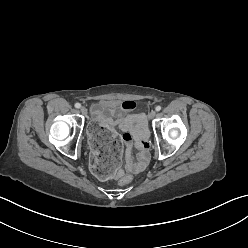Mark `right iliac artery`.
I'll list each match as a JSON object with an SVG mask.
<instances>
[{
  "mask_svg": "<svg viewBox=\"0 0 248 248\" xmlns=\"http://www.w3.org/2000/svg\"><path fill=\"white\" fill-rule=\"evenodd\" d=\"M75 107H76V108H80V107H81V104H80V103H76V104H75Z\"/></svg>",
  "mask_w": 248,
  "mask_h": 248,
  "instance_id": "obj_1",
  "label": "right iliac artery"
}]
</instances>
